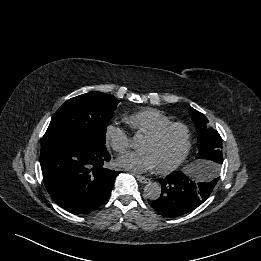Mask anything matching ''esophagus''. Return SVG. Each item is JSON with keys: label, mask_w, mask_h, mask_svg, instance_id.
I'll use <instances>...</instances> for the list:
<instances>
[{"label": "esophagus", "mask_w": 261, "mask_h": 261, "mask_svg": "<svg viewBox=\"0 0 261 261\" xmlns=\"http://www.w3.org/2000/svg\"><path fill=\"white\" fill-rule=\"evenodd\" d=\"M136 178L139 182L143 183V184H147L150 182L149 178H146L144 176H140V175H136Z\"/></svg>", "instance_id": "1"}]
</instances>
